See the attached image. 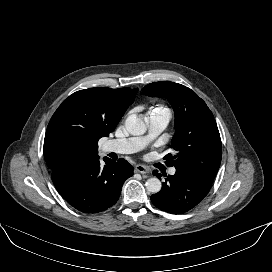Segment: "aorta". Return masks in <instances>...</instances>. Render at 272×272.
Here are the masks:
<instances>
[{
    "label": "aorta",
    "mask_w": 272,
    "mask_h": 272,
    "mask_svg": "<svg viewBox=\"0 0 272 272\" xmlns=\"http://www.w3.org/2000/svg\"><path fill=\"white\" fill-rule=\"evenodd\" d=\"M125 127L127 131L134 136L143 135L147 130L144 121L134 115L127 117ZM145 186L149 192L158 193L161 190L162 184L158 178L153 177L146 181Z\"/></svg>",
    "instance_id": "obj_1"
}]
</instances>
